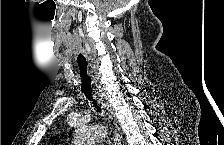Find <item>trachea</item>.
Instances as JSON below:
<instances>
[{"mask_svg": "<svg viewBox=\"0 0 224 145\" xmlns=\"http://www.w3.org/2000/svg\"><path fill=\"white\" fill-rule=\"evenodd\" d=\"M78 67H79V76L81 81V91L84 93L86 98L92 102L93 106L99 112L100 109L98 108L97 104L95 103V100L93 99L91 78L88 73V63L86 61V58L82 56L81 54L78 56Z\"/></svg>", "mask_w": 224, "mask_h": 145, "instance_id": "trachea-1", "label": "trachea"}]
</instances>
